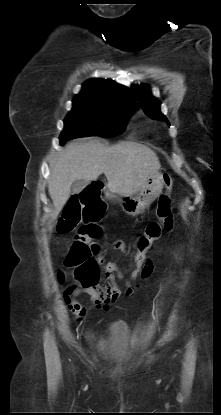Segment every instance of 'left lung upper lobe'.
I'll list each match as a JSON object with an SVG mask.
<instances>
[{
    "label": "left lung upper lobe",
    "mask_w": 221,
    "mask_h": 415,
    "mask_svg": "<svg viewBox=\"0 0 221 415\" xmlns=\"http://www.w3.org/2000/svg\"><path fill=\"white\" fill-rule=\"evenodd\" d=\"M131 89L133 96L138 100L140 106L148 116L152 119L165 121L169 125L165 115L160 112V102L152 96L148 86H133Z\"/></svg>",
    "instance_id": "1"
}]
</instances>
